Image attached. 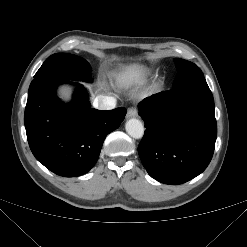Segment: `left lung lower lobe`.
<instances>
[{"instance_id": "1", "label": "left lung lower lobe", "mask_w": 247, "mask_h": 247, "mask_svg": "<svg viewBox=\"0 0 247 247\" xmlns=\"http://www.w3.org/2000/svg\"><path fill=\"white\" fill-rule=\"evenodd\" d=\"M145 133L138 153L148 174L178 185L201 174L217 136L214 99L208 86L160 92L139 104Z\"/></svg>"}]
</instances>
